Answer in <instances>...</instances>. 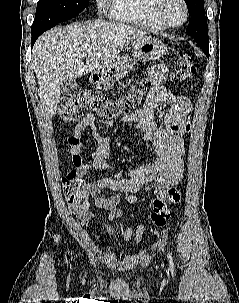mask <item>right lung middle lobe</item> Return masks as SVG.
Wrapping results in <instances>:
<instances>
[{"mask_svg": "<svg viewBox=\"0 0 239 303\" xmlns=\"http://www.w3.org/2000/svg\"><path fill=\"white\" fill-rule=\"evenodd\" d=\"M88 0H39L32 30H48L88 8Z\"/></svg>", "mask_w": 239, "mask_h": 303, "instance_id": "obj_1", "label": "right lung middle lobe"}]
</instances>
